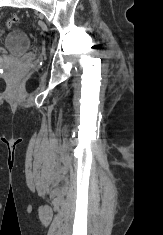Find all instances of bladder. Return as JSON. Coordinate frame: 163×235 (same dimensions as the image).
Returning <instances> with one entry per match:
<instances>
[{
	"mask_svg": "<svg viewBox=\"0 0 163 235\" xmlns=\"http://www.w3.org/2000/svg\"><path fill=\"white\" fill-rule=\"evenodd\" d=\"M31 40L28 35L23 30H11L3 38L1 47L15 54H21L30 49Z\"/></svg>",
	"mask_w": 163,
	"mask_h": 235,
	"instance_id": "bladder-1",
	"label": "bladder"
}]
</instances>
